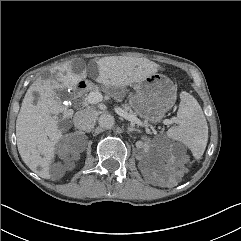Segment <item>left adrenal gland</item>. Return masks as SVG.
<instances>
[{
    "label": "left adrenal gland",
    "mask_w": 241,
    "mask_h": 241,
    "mask_svg": "<svg viewBox=\"0 0 241 241\" xmlns=\"http://www.w3.org/2000/svg\"><path fill=\"white\" fill-rule=\"evenodd\" d=\"M128 131L129 132H132V131H137V132H140V130L139 129H136L135 127H133V126H128Z\"/></svg>",
    "instance_id": "a2214340"
}]
</instances>
